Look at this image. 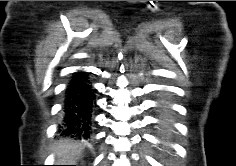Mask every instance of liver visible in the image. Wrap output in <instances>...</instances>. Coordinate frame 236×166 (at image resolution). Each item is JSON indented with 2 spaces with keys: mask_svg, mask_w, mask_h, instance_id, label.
<instances>
[{
  "mask_svg": "<svg viewBox=\"0 0 236 166\" xmlns=\"http://www.w3.org/2000/svg\"><path fill=\"white\" fill-rule=\"evenodd\" d=\"M82 147L73 141L58 143L54 148L57 163H74L76 157L81 155Z\"/></svg>",
  "mask_w": 236,
  "mask_h": 166,
  "instance_id": "liver-1",
  "label": "liver"
}]
</instances>
